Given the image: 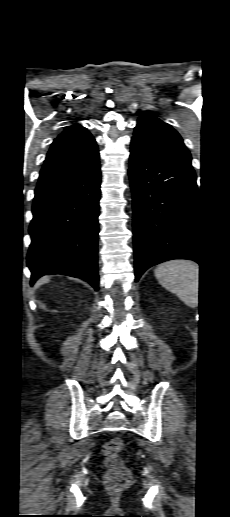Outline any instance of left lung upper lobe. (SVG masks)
Wrapping results in <instances>:
<instances>
[{
    "mask_svg": "<svg viewBox=\"0 0 230 517\" xmlns=\"http://www.w3.org/2000/svg\"><path fill=\"white\" fill-rule=\"evenodd\" d=\"M131 146L149 154L191 164V155L177 131L149 114H143L138 119Z\"/></svg>",
    "mask_w": 230,
    "mask_h": 517,
    "instance_id": "1",
    "label": "left lung upper lobe"
}]
</instances>
